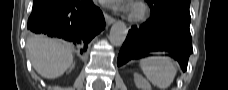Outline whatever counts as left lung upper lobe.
Instances as JSON below:
<instances>
[{"mask_svg": "<svg viewBox=\"0 0 228 90\" xmlns=\"http://www.w3.org/2000/svg\"><path fill=\"white\" fill-rule=\"evenodd\" d=\"M150 5H156L168 11H189L190 0H146Z\"/></svg>", "mask_w": 228, "mask_h": 90, "instance_id": "5c2ea615", "label": "left lung upper lobe"}]
</instances>
